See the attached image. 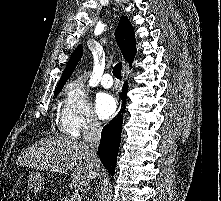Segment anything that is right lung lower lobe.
<instances>
[{
    "mask_svg": "<svg viewBox=\"0 0 221 201\" xmlns=\"http://www.w3.org/2000/svg\"><path fill=\"white\" fill-rule=\"evenodd\" d=\"M128 84L125 83L122 91L123 103L126 100ZM122 117L114 118L102 130L98 154L102 164L113 175L116 167L117 154L121 138Z\"/></svg>",
    "mask_w": 221,
    "mask_h": 201,
    "instance_id": "right-lung-lower-lobe-1",
    "label": "right lung lower lobe"
}]
</instances>
